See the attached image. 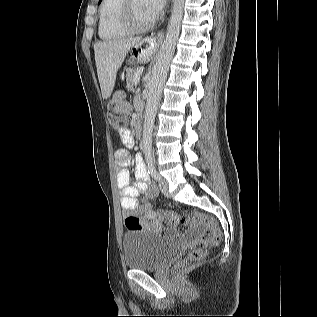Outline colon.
<instances>
[{"label": "colon", "instance_id": "1", "mask_svg": "<svg viewBox=\"0 0 317 317\" xmlns=\"http://www.w3.org/2000/svg\"><path fill=\"white\" fill-rule=\"evenodd\" d=\"M129 116L130 104L125 93L120 90L116 91L107 105V117L110 125L114 129L120 130L129 119ZM197 218L206 222L208 231L201 237L199 244L189 252L183 261H181L179 264V267L181 268L189 265L190 263L201 260L207 250L210 247L218 245L221 239L220 230L212 219L206 218L201 214H198ZM159 219L170 225L195 221L188 216H179L173 212H164L160 215ZM125 225L129 230H141L149 227L159 230L162 227L159 220L156 224L150 225L145 219L133 215H130L125 219Z\"/></svg>", "mask_w": 317, "mask_h": 317}]
</instances>
